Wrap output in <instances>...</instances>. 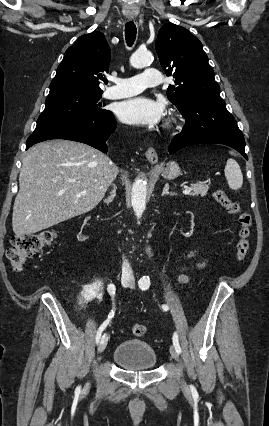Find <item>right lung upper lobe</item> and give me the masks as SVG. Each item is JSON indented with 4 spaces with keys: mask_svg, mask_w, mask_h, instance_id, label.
I'll return each mask as SVG.
<instances>
[{
    "mask_svg": "<svg viewBox=\"0 0 269 426\" xmlns=\"http://www.w3.org/2000/svg\"><path fill=\"white\" fill-rule=\"evenodd\" d=\"M110 58V48L103 33L80 36L66 50L50 84V92L66 89L102 92L100 86L107 83L103 75L109 71Z\"/></svg>",
    "mask_w": 269,
    "mask_h": 426,
    "instance_id": "1",
    "label": "right lung upper lobe"
}]
</instances>
